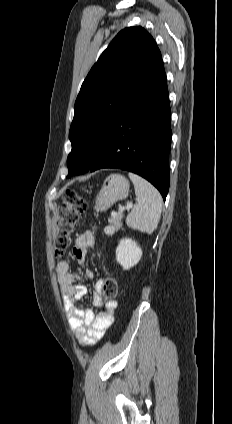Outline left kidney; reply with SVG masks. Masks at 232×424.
Segmentation results:
<instances>
[{
    "label": "left kidney",
    "mask_w": 232,
    "mask_h": 424,
    "mask_svg": "<svg viewBox=\"0 0 232 424\" xmlns=\"http://www.w3.org/2000/svg\"><path fill=\"white\" fill-rule=\"evenodd\" d=\"M142 257V250L137 243L130 238H123L120 240L116 249V260L123 267L128 270L135 266Z\"/></svg>",
    "instance_id": "1"
}]
</instances>
